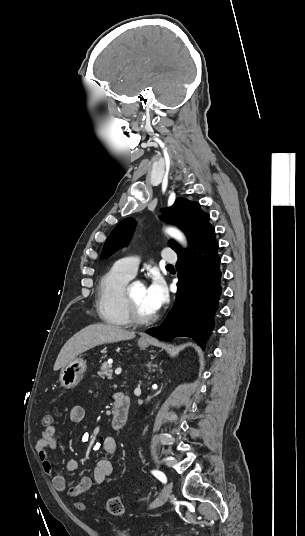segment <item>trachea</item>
<instances>
[{"label":"trachea","mask_w":305,"mask_h":536,"mask_svg":"<svg viewBox=\"0 0 305 536\" xmlns=\"http://www.w3.org/2000/svg\"><path fill=\"white\" fill-rule=\"evenodd\" d=\"M166 269L174 270V266L173 265H166Z\"/></svg>","instance_id":"trachea-1"}]
</instances>
